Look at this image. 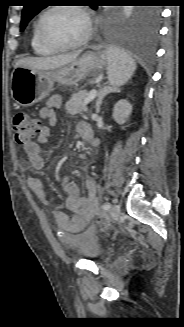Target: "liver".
Here are the masks:
<instances>
[{
	"instance_id": "1",
	"label": "liver",
	"mask_w": 184,
	"mask_h": 327,
	"mask_svg": "<svg viewBox=\"0 0 184 327\" xmlns=\"http://www.w3.org/2000/svg\"><path fill=\"white\" fill-rule=\"evenodd\" d=\"M80 53L81 51L53 57H27L18 60L15 64V68L22 66L33 70H53L74 61Z\"/></svg>"
}]
</instances>
